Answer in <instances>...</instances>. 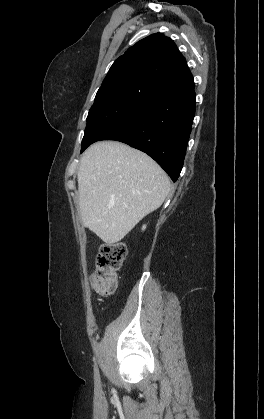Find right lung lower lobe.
Here are the masks:
<instances>
[{
    "label": "right lung lower lobe",
    "mask_w": 264,
    "mask_h": 419,
    "mask_svg": "<svg viewBox=\"0 0 264 419\" xmlns=\"http://www.w3.org/2000/svg\"><path fill=\"white\" fill-rule=\"evenodd\" d=\"M194 85L143 101L101 140H116L152 157L176 182L183 167L195 115Z\"/></svg>",
    "instance_id": "obj_1"
}]
</instances>
